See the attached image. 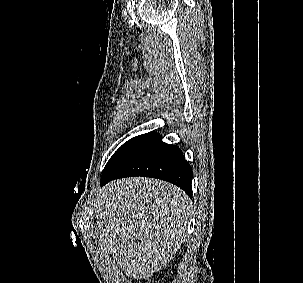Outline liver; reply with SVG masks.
I'll use <instances>...</instances> for the list:
<instances>
[{
	"instance_id": "obj_1",
	"label": "liver",
	"mask_w": 303,
	"mask_h": 283,
	"mask_svg": "<svg viewBox=\"0 0 303 283\" xmlns=\"http://www.w3.org/2000/svg\"><path fill=\"white\" fill-rule=\"evenodd\" d=\"M191 209L188 196L167 182L114 181L103 188L97 206L101 247L131 278H149L180 248Z\"/></svg>"
}]
</instances>
